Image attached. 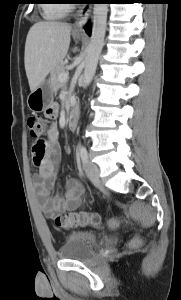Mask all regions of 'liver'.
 <instances>
[{"label": "liver", "instance_id": "1", "mask_svg": "<svg viewBox=\"0 0 181 300\" xmlns=\"http://www.w3.org/2000/svg\"><path fill=\"white\" fill-rule=\"evenodd\" d=\"M71 25L41 21L29 30L25 43V71L31 92L66 56L70 44Z\"/></svg>", "mask_w": 181, "mask_h": 300}]
</instances>
